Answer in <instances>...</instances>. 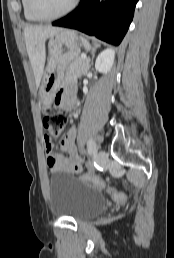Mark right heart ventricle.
I'll list each match as a JSON object with an SVG mask.
<instances>
[{
    "instance_id": "1",
    "label": "right heart ventricle",
    "mask_w": 174,
    "mask_h": 258,
    "mask_svg": "<svg viewBox=\"0 0 174 258\" xmlns=\"http://www.w3.org/2000/svg\"><path fill=\"white\" fill-rule=\"evenodd\" d=\"M21 4H22V9H23V14H24V17L27 21H30V22H37L39 21L37 18H35L31 12L29 11V8H28V1L27 0H21Z\"/></svg>"
}]
</instances>
